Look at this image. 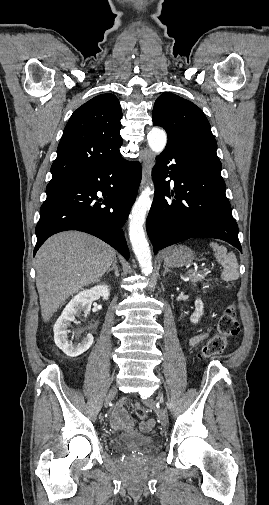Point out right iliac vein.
<instances>
[{
    "label": "right iliac vein",
    "instance_id": "right-iliac-vein-1",
    "mask_svg": "<svg viewBox=\"0 0 269 505\" xmlns=\"http://www.w3.org/2000/svg\"><path fill=\"white\" fill-rule=\"evenodd\" d=\"M115 385H118V382H115ZM116 393H117V388H116V387H113V388L109 391V393H108V395H107V397H106V400H105V404H106V405H107V404H109V403L112 401V399L115 397Z\"/></svg>",
    "mask_w": 269,
    "mask_h": 505
}]
</instances>
